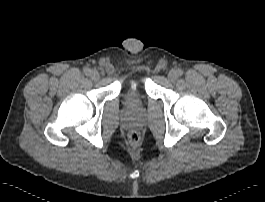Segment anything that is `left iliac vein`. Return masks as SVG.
Instances as JSON below:
<instances>
[{
  "label": "left iliac vein",
  "mask_w": 265,
  "mask_h": 202,
  "mask_svg": "<svg viewBox=\"0 0 265 202\" xmlns=\"http://www.w3.org/2000/svg\"><path fill=\"white\" fill-rule=\"evenodd\" d=\"M176 78H177V72L173 69L170 70V72L168 73V79L173 82L176 80Z\"/></svg>",
  "instance_id": "left-iliac-vein-1"
}]
</instances>
